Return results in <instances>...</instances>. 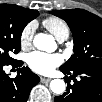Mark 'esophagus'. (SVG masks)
Wrapping results in <instances>:
<instances>
[{"label": "esophagus", "mask_w": 102, "mask_h": 102, "mask_svg": "<svg viewBox=\"0 0 102 102\" xmlns=\"http://www.w3.org/2000/svg\"><path fill=\"white\" fill-rule=\"evenodd\" d=\"M40 80L42 83H49L51 81V78L41 77Z\"/></svg>", "instance_id": "esophagus-1"}]
</instances>
